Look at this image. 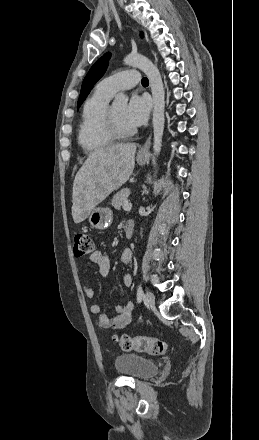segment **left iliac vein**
<instances>
[{
  "label": "left iliac vein",
  "instance_id": "4c4485c4",
  "mask_svg": "<svg viewBox=\"0 0 259 440\" xmlns=\"http://www.w3.org/2000/svg\"><path fill=\"white\" fill-rule=\"evenodd\" d=\"M145 302L149 308L155 307V296L152 292L147 291L145 294Z\"/></svg>",
  "mask_w": 259,
  "mask_h": 440
}]
</instances>
